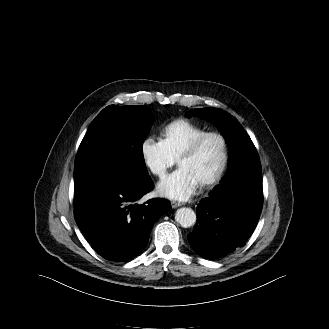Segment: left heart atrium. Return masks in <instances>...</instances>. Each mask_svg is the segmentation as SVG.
<instances>
[{
  "instance_id": "obj_1",
  "label": "left heart atrium",
  "mask_w": 329,
  "mask_h": 329,
  "mask_svg": "<svg viewBox=\"0 0 329 329\" xmlns=\"http://www.w3.org/2000/svg\"><path fill=\"white\" fill-rule=\"evenodd\" d=\"M198 186L199 182L185 168L179 167L159 182L157 192L163 197L184 201L196 192Z\"/></svg>"
}]
</instances>
